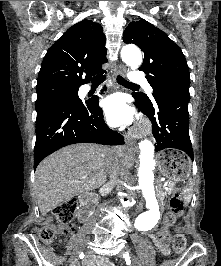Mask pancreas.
I'll list each match as a JSON object with an SVG mask.
<instances>
[{
    "mask_svg": "<svg viewBox=\"0 0 221 266\" xmlns=\"http://www.w3.org/2000/svg\"><path fill=\"white\" fill-rule=\"evenodd\" d=\"M167 188L168 189H165V187H164L165 192L168 193V194H171L173 189H174V186L173 185H168Z\"/></svg>",
    "mask_w": 221,
    "mask_h": 266,
    "instance_id": "1",
    "label": "pancreas"
}]
</instances>
